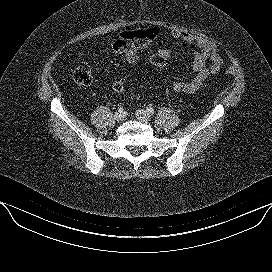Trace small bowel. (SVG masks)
I'll return each instance as SVG.
<instances>
[{"mask_svg":"<svg viewBox=\"0 0 272 272\" xmlns=\"http://www.w3.org/2000/svg\"><path fill=\"white\" fill-rule=\"evenodd\" d=\"M172 38L182 40L188 47H196L191 66L196 76L191 81L177 80L172 84V89L178 93L193 94L203 87L205 82L213 75H216L222 65L223 58L218 46L206 39L196 37L190 33L172 31ZM145 47L134 37V31H124L112 44V50L116 54L126 56L128 62L135 65ZM159 53L167 58L171 57L170 49H160Z\"/></svg>","mask_w":272,"mask_h":272,"instance_id":"small-bowel-1","label":"small bowel"}]
</instances>
